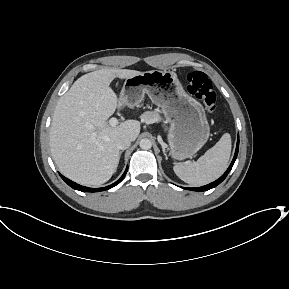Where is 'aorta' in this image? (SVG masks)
Here are the masks:
<instances>
[{
    "label": "aorta",
    "mask_w": 289,
    "mask_h": 289,
    "mask_svg": "<svg viewBox=\"0 0 289 289\" xmlns=\"http://www.w3.org/2000/svg\"><path fill=\"white\" fill-rule=\"evenodd\" d=\"M139 146L143 150H149L152 147V142L151 140L144 138V139H141Z\"/></svg>",
    "instance_id": "1"
}]
</instances>
